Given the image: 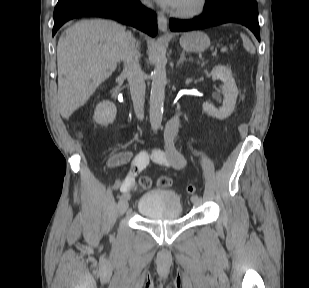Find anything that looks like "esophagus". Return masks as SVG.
<instances>
[{
    "label": "esophagus",
    "mask_w": 309,
    "mask_h": 288,
    "mask_svg": "<svg viewBox=\"0 0 309 288\" xmlns=\"http://www.w3.org/2000/svg\"><path fill=\"white\" fill-rule=\"evenodd\" d=\"M157 20H158V28H159V30L161 32H163V33H167V30H168V20H167L166 16L163 13L158 12Z\"/></svg>",
    "instance_id": "obj_1"
}]
</instances>
